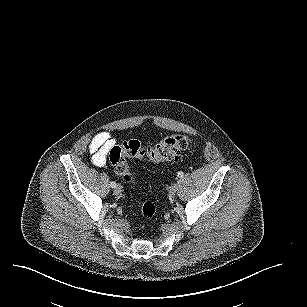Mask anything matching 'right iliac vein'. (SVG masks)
I'll return each mask as SVG.
<instances>
[{
	"label": "right iliac vein",
	"mask_w": 307,
	"mask_h": 307,
	"mask_svg": "<svg viewBox=\"0 0 307 307\" xmlns=\"http://www.w3.org/2000/svg\"><path fill=\"white\" fill-rule=\"evenodd\" d=\"M122 187L120 185H117L115 188H114V193L115 195H121L122 194Z\"/></svg>",
	"instance_id": "1"
}]
</instances>
